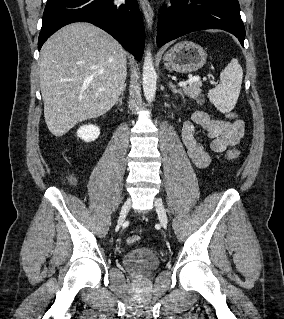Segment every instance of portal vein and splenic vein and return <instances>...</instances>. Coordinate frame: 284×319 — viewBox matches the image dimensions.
I'll return each instance as SVG.
<instances>
[{
	"instance_id": "1",
	"label": "portal vein and splenic vein",
	"mask_w": 284,
	"mask_h": 319,
	"mask_svg": "<svg viewBox=\"0 0 284 319\" xmlns=\"http://www.w3.org/2000/svg\"><path fill=\"white\" fill-rule=\"evenodd\" d=\"M200 79H201L200 76H194V77L188 79L187 81L179 82V83H178V86H179V87H184V86H186V85H188V84H191V83H194V82H199ZM211 83L214 84L213 81H211Z\"/></svg>"
}]
</instances>
